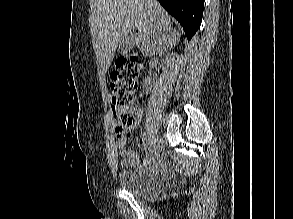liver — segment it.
I'll return each mask as SVG.
<instances>
[{
	"mask_svg": "<svg viewBox=\"0 0 293 219\" xmlns=\"http://www.w3.org/2000/svg\"><path fill=\"white\" fill-rule=\"evenodd\" d=\"M136 29L138 32L133 33ZM133 35L145 56L160 55L176 46L180 33L157 0H96L93 47L107 71L121 38Z\"/></svg>",
	"mask_w": 293,
	"mask_h": 219,
	"instance_id": "1",
	"label": "liver"
}]
</instances>
